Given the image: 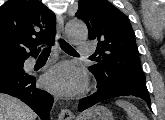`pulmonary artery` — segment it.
I'll use <instances>...</instances> for the list:
<instances>
[{
    "label": "pulmonary artery",
    "mask_w": 165,
    "mask_h": 120,
    "mask_svg": "<svg viewBox=\"0 0 165 120\" xmlns=\"http://www.w3.org/2000/svg\"><path fill=\"white\" fill-rule=\"evenodd\" d=\"M95 50V46L90 42H83L79 46V53L82 56H89L91 55ZM32 61H29V64H32Z\"/></svg>",
    "instance_id": "1"
}]
</instances>
